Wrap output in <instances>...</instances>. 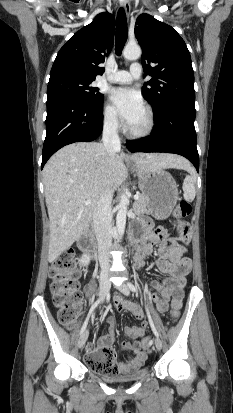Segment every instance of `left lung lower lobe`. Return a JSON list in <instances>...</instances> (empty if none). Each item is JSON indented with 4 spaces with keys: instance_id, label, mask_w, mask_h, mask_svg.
Wrapping results in <instances>:
<instances>
[{
    "instance_id": "1",
    "label": "left lung lower lobe",
    "mask_w": 233,
    "mask_h": 413,
    "mask_svg": "<svg viewBox=\"0 0 233 413\" xmlns=\"http://www.w3.org/2000/svg\"><path fill=\"white\" fill-rule=\"evenodd\" d=\"M196 111L173 105L156 113L157 125L147 137L127 143L130 152H166L186 157L199 171V155L194 127Z\"/></svg>"
}]
</instances>
